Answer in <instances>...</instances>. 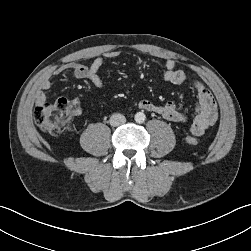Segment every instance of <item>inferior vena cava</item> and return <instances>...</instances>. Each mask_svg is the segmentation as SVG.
Segmentation results:
<instances>
[{"label":"inferior vena cava","instance_id":"inferior-vena-cava-1","mask_svg":"<svg viewBox=\"0 0 251 251\" xmlns=\"http://www.w3.org/2000/svg\"><path fill=\"white\" fill-rule=\"evenodd\" d=\"M125 122H126V118L122 114L116 113L110 117L111 126L117 127V126L123 125Z\"/></svg>","mask_w":251,"mask_h":251}]
</instances>
